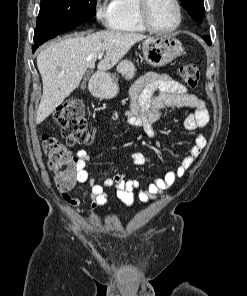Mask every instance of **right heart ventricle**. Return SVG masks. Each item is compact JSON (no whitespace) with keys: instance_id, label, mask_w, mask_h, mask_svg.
Instances as JSON below:
<instances>
[{"instance_id":"obj_1","label":"right heart ventricle","mask_w":247,"mask_h":296,"mask_svg":"<svg viewBox=\"0 0 247 296\" xmlns=\"http://www.w3.org/2000/svg\"><path fill=\"white\" fill-rule=\"evenodd\" d=\"M138 0H112L113 19L110 28L115 31L142 33L147 29L137 13Z\"/></svg>"}]
</instances>
